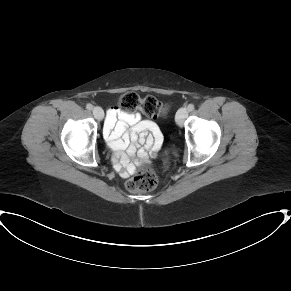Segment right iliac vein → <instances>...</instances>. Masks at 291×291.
<instances>
[{
	"mask_svg": "<svg viewBox=\"0 0 291 291\" xmlns=\"http://www.w3.org/2000/svg\"><path fill=\"white\" fill-rule=\"evenodd\" d=\"M93 115L97 120H102L104 117V111L102 110L101 107H94L93 108Z\"/></svg>",
	"mask_w": 291,
	"mask_h": 291,
	"instance_id": "1",
	"label": "right iliac vein"
}]
</instances>
